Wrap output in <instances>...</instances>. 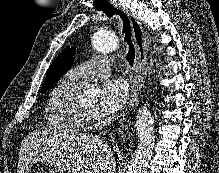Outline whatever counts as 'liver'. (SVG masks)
<instances>
[{
  "label": "liver",
  "instance_id": "liver-1",
  "mask_svg": "<svg viewBox=\"0 0 219 173\" xmlns=\"http://www.w3.org/2000/svg\"><path fill=\"white\" fill-rule=\"evenodd\" d=\"M56 163L70 173H114L115 158L98 135L35 130L21 143L17 173H28L38 162Z\"/></svg>",
  "mask_w": 219,
  "mask_h": 173
}]
</instances>
